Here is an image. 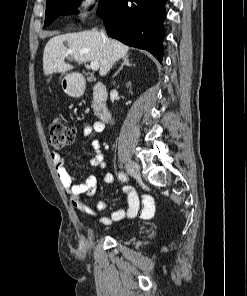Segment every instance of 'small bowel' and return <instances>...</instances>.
<instances>
[{
	"label": "small bowel",
	"instance_id": "small-bowel-1",
	"mask_svg": "<svg viewBox=\"0 0 247 296\" xmlns=\"http://www.w3.org/2000/svg\"><path fill=\"white\" fill-rule=\"evenodd\" d=\"M102 130L103 124L99 121H94L85 125L84 136L89 138L93 134L99 133ZM90 144L94 150V155L89 158L88 163L98 171H102L105 168V162L101 143L97 139H92ZM51 159L54 163L61 185L69 193L70 200L78 212L98 218V221L105 226L111 225L113 221H118L125 216L132 218L137 215L140 208L138 195L132 187L126 186L123 188V193L126 196V203L119 209L113 211L109 216L99 217L98 212L107 208L109 203L106 201H99L94 206H90L83 200V197L89 198L95 194L97 189V177L95 175H89L83 182H77L67 170L65 166V158L62 155L53 152L51 154ZM103 182L105 184H112L114 182L113 174H105ZM153 210L152 201L149 198H145L141 212L142 218L147 219L151 217Z\"/></svg>",
	"mask_w": 247,
	"mask_h": 296
}]
</instances>
